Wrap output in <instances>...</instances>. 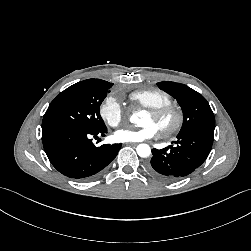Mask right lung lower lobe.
Here are the masks:
<instances>
[{"instance_id": "98d812e1", "label": "right lung lower lobe", "mask_w": 251, "mask_h": 251, "mask_svg": "<svg viewBox=\"0 0 251 251\" xmlns=\"http://www.w3.org/2000/svg\"><path fill=\"white\" fill-rule=\"evenodd\" d=\"M44 150L52 165L63 175L87 180L104 169L118 154L121 144L96 147L91 137L105 136L107 128L84 130L50 127L42 130Z\"/></svg>"}]
</instances>
